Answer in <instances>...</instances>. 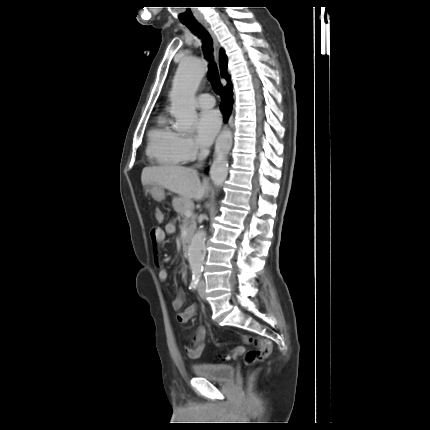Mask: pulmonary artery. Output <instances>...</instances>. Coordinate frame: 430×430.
<instances>
[{"label": "pulmonary artery", "mask_w": 430, "mask_h": 430, "mask_svg": "<svg viewBox=\"0 0 430 430\" xmlns=\"http://www.w3.org/2000/svg\"><path fill=\"white\" fill-rule=\"evenodd\" d=\"M197 104L202 109H210L215 105V99L211 94H201L197 99Z\"/></svg>", "instance_id": "obj_1"}]
</instances>
